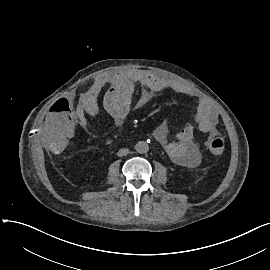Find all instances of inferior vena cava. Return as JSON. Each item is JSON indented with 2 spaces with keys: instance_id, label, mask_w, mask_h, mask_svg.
Segmentation results:
<instances>
[{
  "instance_id": "602c4592",
  "label": "inferior vena cava",
  "mask_w": 270,
  "mask_h": 270,
  "mask_svg": "<svg viewBox=\"0 0 270 270\" xmlns=\"http://www.w3.org/2000/svg\"><path fill=\"white\" fill-rule=\"evenodd\" d=\"M128 153H129V149L122 148L117 152V155L119 157H122V156H126Z\"/></svg>"
}]
</instances>
